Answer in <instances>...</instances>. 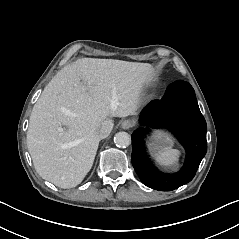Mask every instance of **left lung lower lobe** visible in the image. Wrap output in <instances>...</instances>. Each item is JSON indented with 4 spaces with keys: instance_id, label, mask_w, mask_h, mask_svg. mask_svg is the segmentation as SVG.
Wrapping results in <instances>:
<instances>
[{
    "instance_id": "0a47b994",
    "label": "left lung lower lobe",
    "mask_w": 239,
    "mask_h": 239,
    "mask_svg": "<svg viewBox=\"0 0 239 239\" xmlns=\"http://www.w3.org/2000/svg\"><path fill=\"white\" fill-rule=\"evenodd\" d=\"M141 123L152 128L167 127L186 149L185 164L174 174L155 169L148 160L144 145V129L132 134V164L146 186L174 190L193 179L207 151V125L200 112L192 86L183 80L170 84L161 100L151 102L140 115Z\"/></svg>"
}]
</instances>
